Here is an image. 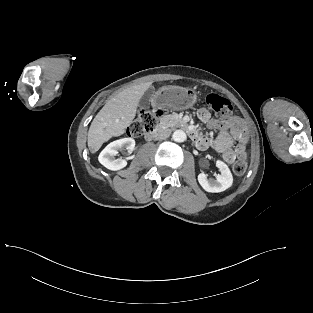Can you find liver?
<instances>
[{"instance_id": "liver-1", "label": "liver", "mask_w": 313, "mask_h": 313, "mask_svg": "<svg viewBox=\"0 0 313 313\" xmlns=\"http://www.w3.org/2000/svg\"><path fill=\"white\" fill-rule=\"evenodd\" d=\"M151 84L146 82L132 86L106 102L88 131L87 143L91 153L97 152L112 137L125 133L136 116L140 99Z\"/></svg>"}]
</instances>
